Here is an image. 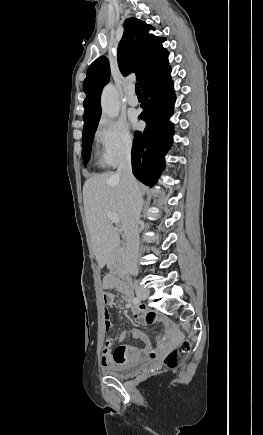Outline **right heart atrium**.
Instances as JSON below:
<instances>
[{"label": "right heart atrium", "mask_w": 263, "mask_h": 435, "mask_svg": "<svg viewBox=\"0 0 263 435\" xmlns=\"http://www.w3.org/2000/svg\"><path fill=\"white\" fill-rule=\"evenodd\" d=\"M95 140L100 146L101 160L109 166H115L128 157L134 144L128 123L124 119L107 117L100 119L95 131Z\"/></svg>", "instance_id": "1"}]
</instances>
